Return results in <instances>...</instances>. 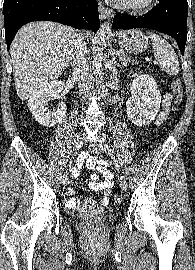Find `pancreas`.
<instances>
[{"label":"pancreas","mask_w":195,"mask_h":270,"mask_svg":"<svg viewBox=\"0 0 195 270\" xmlns=\"http://www.w3.org/2000/svg\"><path fill=\"white\" fill-rule=\"evenodd\" d=\"M119 60L124 66H126L128 62L134 61L130 57H128L125 53H121Z\"/></svg>","instance_id":"pancreas-1"}]
</instances>
